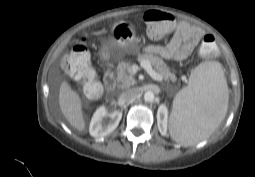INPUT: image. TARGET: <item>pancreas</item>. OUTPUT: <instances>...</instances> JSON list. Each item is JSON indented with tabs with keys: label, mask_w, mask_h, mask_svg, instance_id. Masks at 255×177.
Masks as SVG:
<instances>
[{
	"label": "pancreas",
	"mask_w": 255,
	"mask_h": 177,
	"mask_svg": "<svg viewBox=\"0 0 255 177\" xmlns=\"http://www.w3.org/2000/svg\"><path fill=\"white\" fill-rule=\"evenodd\" d=\"M138 61L147 60L154 67L155 71L162 76V78L166 81H176V76L174 73L170 71L167 64L157 56H153L150 54H138ZM132 72V65L129 62L121 61L117 66V83L119 88L126 89L133 86L136 81L134 78L130 76Z\"/></svg>",
	"instance_id": "pancreas-1"
}]
</instances>
